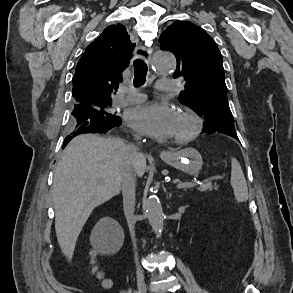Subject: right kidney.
Returning a JSON list of instances; mask_svg holds the SVG:
<instances>
[{"mask_svg": "<svg viewBox=\"0 0 293 293\" xmlns=\"http://www.w3.org/2000/svg\"><path fill=\"white\" fill-rule=\"evenodd\" d=\"M110 220L109 233L106 238L101 242V249L106 254H114L120 250L124 242V232L119 224Z\"/></svg>", "mask_w": 293, "mask_h": 293, "instance_id": "ca27d5eb", "label": "right kidney"}]
</instances>
